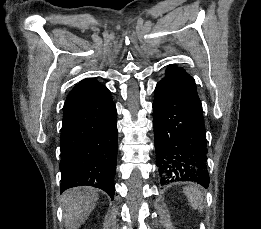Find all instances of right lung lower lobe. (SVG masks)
<instances>
[{
	"mask_svg": "<svg viewBox=\"0 0 261 229\" xmlns=\"http://www.w3.org/2000/svg\"><path fill=\"white\" fill-rule=\"evenodd\" d=\"M110 91L88 78L69 93L61 129V192L91 186L115 194L117 126Z\"/></svg>",
	"mask_w": 261,
	"mask_h": 229,
	"instance_id": "obj_1",
	"label": "right lung lower lobe"
}]
</instances>
